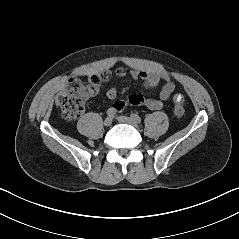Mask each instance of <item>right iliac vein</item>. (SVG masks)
<instances>
[{"label": "right iliac vein", "instance_id": "63e3f726", "mask_svg": "<svg viewBox=\"0 0 239 239\" xmlns=\"http://www.w3.org/2000/svg\"><path fill=\"white\" fill-rule=\"evenodd\" d=\"M112 124V118L111 117H107L105 120H104V125L105 126H111Z\"/></svg>", "mask_w": 239, "mask_h": 239}]
</instances>
